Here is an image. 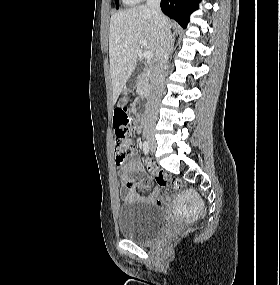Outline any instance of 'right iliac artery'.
Segmentation results:
<instances>
[{
  "label": "right iliac artery",
  "mask_w": 280,
  "mask_h": 285,
  "mask_svg": "<svg viewBox=\"0 0 280 285\" xmlns=\"http://www.w3.org/2000/svg\"><path fill=\"white\" fill-rule=\"evenodd\" d=\"M143 151L145 154H148V152H149V145H148L147 141H144V143H143Z\"/></svg>",
  "instance_id": "right-iliac-artery-1"
}]
</instances>
